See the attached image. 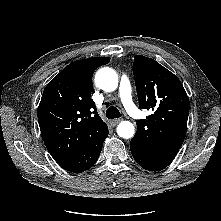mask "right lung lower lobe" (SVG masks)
I'll return each instance as SVG.
<instances>
[{"instance_id": "98d812e1", "label": "right lung lower lobe", "mask_w": 221, "mask_h": 221, "mask_svg": "<svg viewBox=\"0 0 221 221\" xmlns=\"http://www.w3.org/2000/svg\"><path fill=\"white\" fill-rule=\"evenodd\" d=\"M108 135V127L85 148L60 166L70 172L79 173L92 167L97 161L105 138Z\"/></svg>"}]
</instances>
